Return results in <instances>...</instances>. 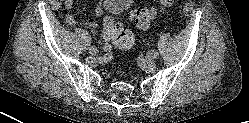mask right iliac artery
<instances>
[{
    "mask_svg": "<svg viewBox=\"0 0 249 123\" xmlns=\"http://www.w3.org/2000/svg\"><path fill=\"white\" fill-rule=\"evenodd\" d=\"M103 50L106 51V52H108V51L111 50V47H110L109 45H105V46L103 47Z\"/></svg>",
    "mask_w": 249,
    "mask_h": 123,
    "instance_id": "obj_1",
    "label": "right iliac artery"
}]
</instances>
